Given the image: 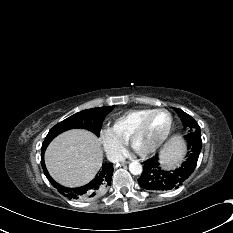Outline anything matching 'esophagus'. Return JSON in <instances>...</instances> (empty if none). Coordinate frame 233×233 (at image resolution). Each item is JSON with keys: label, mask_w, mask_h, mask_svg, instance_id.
Listing matches in <instances>:
<instances>
[{"label": "esophagus", "mask_w": 233, "mask_h": 233, "mask_svg": "<svg viewBox=\"0 0 233 233\" xmlns=\"http://www.w3.org/2000/svg\"><path fill=\"white\" fill-rule=\"evenodd\" d=\"M129 163V161H127V160H123V161H121V164L123 165V164H128Z\"/></svg>", "instance_id": "1"}]
</instances>
